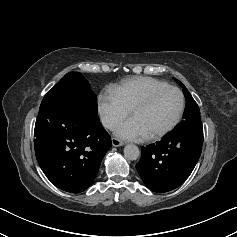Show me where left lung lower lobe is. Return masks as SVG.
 <instances>
[{
	"mask_svg": "<svg viewBox=\"0 0 237 237\" xmlns=\"http://www.w3.org/2000/svg\"><path fill=\"white\" fill-rule=\"evenodd\" d=\"M203 132L167 135L156 144L142 147L137 171L154 192L179 187L193 171L202 151Z\"/></svg>",
	"mask_w": 237,
	"mask_h": 237,
	"instance_id": "left-lung-lower-lobe-1",
	"label": "left lung lower lobe"
}]
</instances>
